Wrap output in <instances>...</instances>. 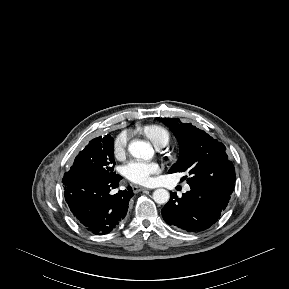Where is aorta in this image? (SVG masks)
Wrapping results in <instances>:
<instances>
[{
  "instance_id": "obj_1",
  "label": "aorta",
  "mask_w": 289,
  "mask_h": 289,
  "mask_svg": "<svg viewBox=\"0 0 289 289\" xmlns=\"http://www.w3.org/2000/svg\"><path fill=\"white\" fill-rule=\"evenodd\" d=\"M129 153L135 158L149 160L153 157L152 146L142 140H133L128 146ZM170 194L166 189H156L153 192V200L157 204H165L169 201Z\"/></svg>"
}]
</instances>
